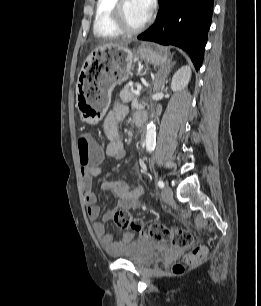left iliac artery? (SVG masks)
Wrapping results in <instances>:
<instances>
[{"mask_svg": "<svg viewBox=\"0 0 261 306\" xmlns=\"http://www.w3.org/2000/svg\"><path fill=\"white\" fill-rule=\"evenodd\" d=\"M157 184L160 188L164 187V182L162 180H159Z\"/></svg>", "mask_w": 261, "mask_h": 306, "instance_id": "1", "label": "left iliac artery"}]
</instances>
